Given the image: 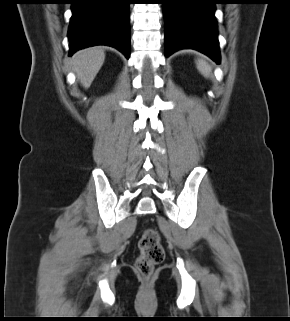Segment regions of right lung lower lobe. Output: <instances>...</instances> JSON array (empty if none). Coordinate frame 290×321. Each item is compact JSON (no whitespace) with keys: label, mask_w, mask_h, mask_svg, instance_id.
I'll return each mask as SVG.
<instances>
[{"label":"right lung lower lobe","mask_w":290,"mask_h":321,"mask_svg":"<svg viewBox=\"0 0 290 321\" xmlns=\"http://www.w3.org/2000/svg\"><path fill=\"white\" fill-rule=\"evenodd\" d=\"M71 4L69 55L82 48L108 45L117 48L129 58L128 0H72Z\"/></svg>","instance_id":"right-lung-lower-lobe-1"}]
</instances>
